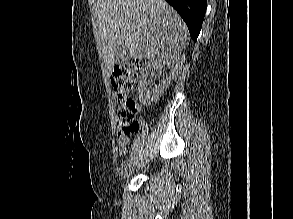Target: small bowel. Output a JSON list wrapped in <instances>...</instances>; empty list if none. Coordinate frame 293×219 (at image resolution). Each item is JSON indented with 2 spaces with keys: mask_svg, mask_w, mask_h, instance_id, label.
<instances>
[{
  "mask_svg": "<svg viewBox=\"0 0 293 219\" xmlns=\"http://www.w3.org/2000/svg\"><path fill=\"white\" fill-rule=\"evenodd\" d=\"M129 144V135H125L118 132V145H119V152L122 155H125L127 153V147Z\"/></svg>",
  "mask_w": 293,
  "mask_h": 219,
  "instance_id": "small-bowel-1",
  "label": "small bowel"
}]
</instances>
